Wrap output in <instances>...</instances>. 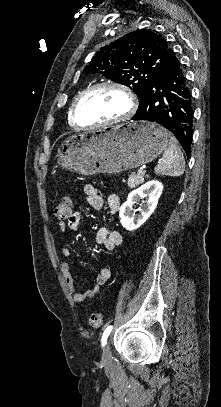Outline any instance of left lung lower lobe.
Masks as SVG:
<instances>
[{
  "label": "left lung lower lobe",
  "mask_w": 221,
  "mask_h": 407,
  "mask_svg": "<svg viewBox=\"0 0 221 407\" xmlns=\"http://www.w3.org/2000/svg\"><path fill=\"white\" fill-rule=\"evenodd\" d=\"M193 103L183 67L174 53L169 63L147 84L133 120L160 124L171 131L190 157Z\"/></svg>",
  "instance_id": "obj_1"
}]
</instances>
